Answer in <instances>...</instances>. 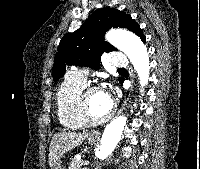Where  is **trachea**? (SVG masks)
Masks as SVG:
<instances>
[{
  "label": "trachea",
  "mask_w": 200,
  "mask_h": 169,
  "mask_svg": "<svg viewBox=\"0 0 200 169\" xmlns=\"http://www.w3.org/2000/svg\"><path fill=\"white\" fill-rule=\"evenodd\" d=\"M118 70L126 71V69H124V68H119Z\"/></svg>",
  "instance_id": "1"
}]
</instances>
